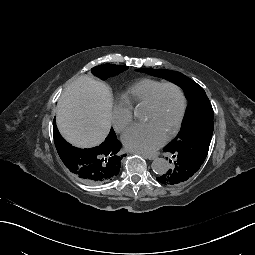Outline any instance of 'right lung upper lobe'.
<instances>
[{
	"label": "right lung upper lobe",
	"mask_w": 255,
	"mask_h": 255,
	"mask_svg": "<svg viewBox=\"0 0 255 255\" xmlns=\"http://www.w3.org/2000/svg\"><path fill=\"white\" fill-rule=\"evenodd\" d=\"M53 136L57 152L65 166L75 174L81 181L87 184H104L116 178L119 173L121 159V143L117 140L115 132L111 130L109 136L99 146L93 148L79 149L71 146L60 135L55 121L53 123ZM88 150L100 154V175L98 177H85L83 167L79 163V152Z\"/></svg>",
	"instance_id": "cb5924a9"
}]
</instances>
